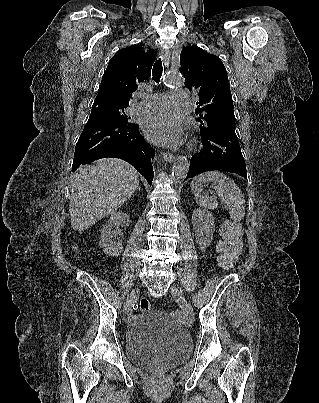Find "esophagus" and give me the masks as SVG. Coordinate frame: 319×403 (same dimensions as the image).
I'll list each match as a JSON object with an SVG mask.
<instances>
[{"instance_id":"34e87169","label":"esophagus","mask_w":319,"mask_h":403,"mask_svg":"<svg viewBox=\"0 0 319 403\" xmlns=\"http://www.w3.org/2000/svg\"><path fill=\"white\" fill-rule=\"evenodd\" d=\"M160 56L162 57L164 67L168 68L170 62V51L162 49L160 51ZM163 158L166 162L171 163L174 161L175 156L171 153L165 152L163 153Z\"/></svg>"}]
</instances>
